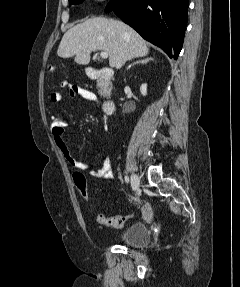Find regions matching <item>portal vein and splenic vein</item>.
Here are the masks:
<instances>
[{
    "label": "portal vein and splenic vein",
    "mask_w": 240,
    "mask_h": 287,
    "mask_svg": "<svg viewBox=\"0 0 240 287\" xmlns=\"http://www.w3.org/2000/svg\"><path fill=\"white\" fill-rule=\"evenodd\" d=\"M100 56H101L103 59H107V58H108V53L105 52V51H102V52L100 53Z\"/></svg>",
    "instance_id": "18ae733b"
}]
</instances>
